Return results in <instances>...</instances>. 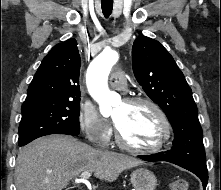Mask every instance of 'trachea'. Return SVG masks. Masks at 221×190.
<instances>
[{
    "label": "trachea",
    "instance_id": "trachea-1",
    "mask_svg": "<svg viewBox=\"0 0 221 190\" xmlns=\"http://www.w3.org/2000/svg\"><path fill=\"white\" fill-rule=\"evenodd\" d=\"M102 12L105 17H109L113 9V1H102L101 2Z\"/></svg>",
    "mask_w": 221,
    "mask_h": 190
}]
</instances>
